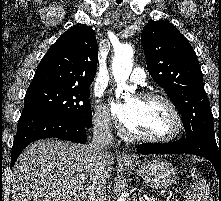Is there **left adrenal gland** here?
Returning <instances> with one entry per match:
<instances>
[{
  "label": "left adrenal gland",
  "instance_id": "left-adrenal-gland-1",
  "mask_svg": "<svg viewBox=\"0 0 221 201\" xmlns=\"http://www.w3.org/2000/svg\"><path fill=\"white\" fill-rule=\"evenodd\" d=\"M139 201H145L143 197H139Z\"/></svg>",
  "mask_w": 221,
  "mask_h": 201
}]
</instances>
